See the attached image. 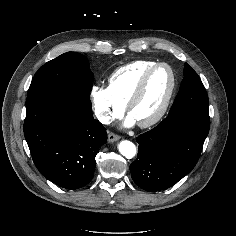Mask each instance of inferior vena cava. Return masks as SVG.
Masks as SVG:
<instances>
[{"mask_svg":"<svg viewBox=\"0 0 236 236\" xmlns=\"http://www.w3.org/2000/svg\"><path fill=\"white\" fill-rule=\"evenodd\" d=\"M96 116L98 118V120L102 123V124H110L111 123V117L107 116V115H103L100 112H96Z\"/></svg>","mask_w":236,"mask_h":236,"instance_id":"obj_1","label":"inferior vena cava"}]
</instances>
